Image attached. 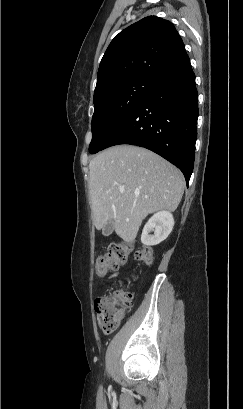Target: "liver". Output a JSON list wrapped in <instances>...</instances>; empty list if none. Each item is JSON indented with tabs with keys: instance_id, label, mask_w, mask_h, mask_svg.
<instances>
[{
	"instance_id": "1",
	"label": "liver",
	"mask_w": 243,
	"mask_h": 409,
	"mask_svg": "<svg viewBox=\"0 0 243 409\" xmlns=\"http://www.w3.org/2000/svg\"><path fill=\"white\" fill-rule=\"evenodd\" d=\"M184 187L182 172L152 151L133 145L110 147L89 163L93 224L101 230L113 220L116 234L132 242L148 214L178 207Z\"/></svg>"
}]
</instances>
